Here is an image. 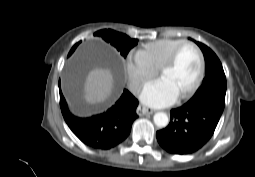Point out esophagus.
I'll return each instance as SVG.
<instances>
[{"label":"esophagus","mask_w":255,"mask_h":177,"mask_svg":"<svg viewBox=\"0 0 255 177\" xmlns=\"http://www.w3.org/2000/svg\"><path fill=\"white\" fill-rule=\"evenodd\" d=\"M154 113V110L153 109H150V108H147V107H144V106H138L137 108V114L139 116H145V115H150V114H153Z\"/></svg>","instance_id":"34e87169"}]
</instances>
